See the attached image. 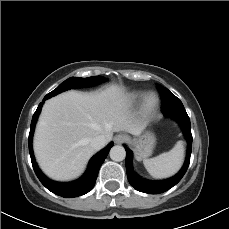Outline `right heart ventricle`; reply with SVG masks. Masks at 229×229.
Listing matches in <instances>:
<instances>
[{"instance_id": "1", "label": "right heart ventricle", "mask_w": 229, "mask_h": 229, "mask_svg": "<svg viewBox=\"0 0 229 229\" xmlns=\"http://www.w3.org/2000/svg\"><path fill=\"white\" fill-rule=\"evenodd\" d=\"M146 93L143 91H136L128 94L122 101V106L124 108H130L138 104L144 97Z\"/></svg>"}]
</instances>
